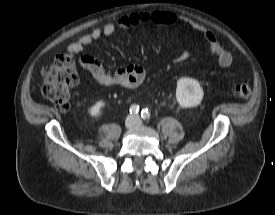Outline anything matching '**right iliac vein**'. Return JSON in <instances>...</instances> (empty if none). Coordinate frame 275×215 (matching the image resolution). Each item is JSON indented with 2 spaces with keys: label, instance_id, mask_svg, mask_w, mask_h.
I'll return each mask as SVG.
<instances>
[{
  "label": "right iliac vein",
  "instance_id": "63e3f726",
  "mask_svg": "<svg viewBox=\"0 0 275 215\" xmlns=\"http://www.w3.org/2000/svg\"><path fill=\"white\" fill-rule=\"evenodd\" d=\"M135 125V120L133 117H128L125 121V126L127 129H131Z\"/></svg>",
  "mask_w": 275,
  "mask_h": 215
}]
</instances>
